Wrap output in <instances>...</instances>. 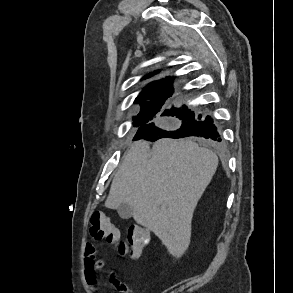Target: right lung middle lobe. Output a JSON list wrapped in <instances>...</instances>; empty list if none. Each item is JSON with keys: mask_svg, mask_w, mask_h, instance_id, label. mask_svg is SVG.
<instances>
[{"mask_svg": "<svg viewBox=\"0 0 293 293\" xmlns=\"http://www.w3.org/2000/svg\"><path fill=\"white\" fill-rule=\"evenodd\" d=\"M157 114V109L155 110H148L147 106L141 107L140 113L138 116L133 118V125L135 127H141L152 120Z\"/></svg>", "mask_w": 293, "mask_h": 293, "instance_id": "1", "label": "right lung middle lobe"}]
</instances>
